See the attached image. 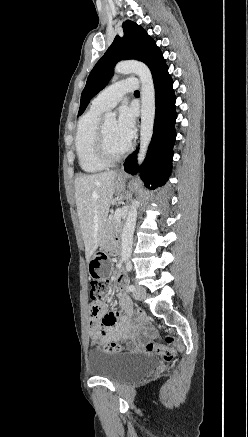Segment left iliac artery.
<instances>
[{"label":"left iliac artery","instance_id":"44dca946","mask_svg":"<svg viewBox=\"0 0 248 437\" xmlns=\"http://www.w3.org/2000/svg\"><path fill=\"white\" fill-rule=\"evenodd\" d=\"M127 271H130L131 270V265L130 264H127ZM134 289H135V287L133 286V285H129L128 286V290L130 291V292H133L134 291Z\"/></svg>","mask_w":248,"mask_h":437}]
</instances>
